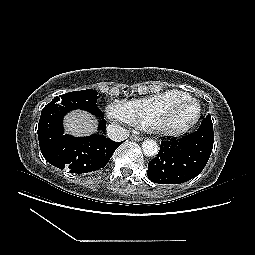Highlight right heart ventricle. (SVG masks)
<instances>
[{"instance_id":"1","label":"right heart ventricle","mask_w":255,"mask_h":255,"mask_svg":"<svg viewBox=\"0 0 255 255\" xmlns=\"http://www.w3.org/2000/svg\"><path fill=\"white\" fill-rule=\"evenodd\" d=\"M186 95V92L172 89L125 102V123L140 128L146 127L158 110L171 100L184 98Z\"/></svg>"}]
</instances>
